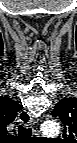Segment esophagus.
Here are the masks:
<instances>
[{
	"label": "esophagus",
	"instance_id": "1",
	"mask_svg": "<svg viewBox=\"0 0 77 143\" xmlns=\"http://www.w3.org/2000/svg\"><path fill=\"white\" fill-rule=\"evenodd\" d=\"M18 121L25 127L30 128L34 123L32 114L28 111H22L18 115Z\"/></svg>",
	"mask_w": 77,
	"mask_h": 143
}]
</instances>
